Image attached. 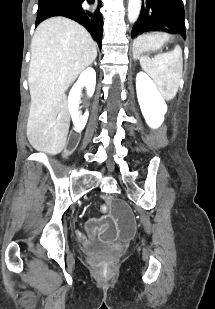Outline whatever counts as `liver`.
Wrapping results in <instances>:
<instances>
[{
  "label": "liver",
  "instance_id": "1",
  "mask_svg": "<svg viewBox=\"0 0 215 309\" xmlns=\"http://www.w3.org/2000/svg\"><path fill=\"white\" fill-rule=\"evenodd\" d=\"M96 56V42L75 20L51 16L37 26L31 40L26 130L36 150L58 155L65 148L70 126L65 90Z\"/></svg>",
  "mask_w": 215,
  "mask_h": 309
}]
</instances>
